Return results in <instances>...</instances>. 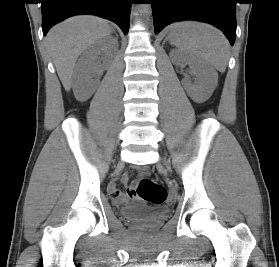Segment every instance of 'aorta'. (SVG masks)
Here are the masks:
<instances>
[{
  "mask_svg": "<svg viewBox=\"0 0 279 267\" xmlns=\"http://www.w3.org/2000/svg\"><path fill=\"white\" fill-rule=\"evenodd\" d=\"M150 8H151V6H150L149 3H141L140 4V11L144 15L146 20H148V17H149V14H150Z\"/></svg>",
  "mask_w": 279,
  "mask_h": 267,
  "instance_id": "aorta-1",
  "label": "aorta"
}]
</instances>
